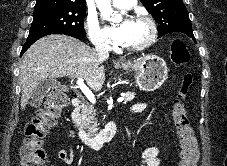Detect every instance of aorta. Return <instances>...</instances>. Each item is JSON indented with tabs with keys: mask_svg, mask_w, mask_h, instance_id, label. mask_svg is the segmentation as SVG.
Segmentation results:
<instances>
[{
	"mask_svg": "<svg viewBox=\"0 0 227 166\" xmlns=\"http://www.w3.org/2000/svg\"><path fill=\"white\" fill-rule=\"evenodd\" d=\"M97 7L101 16L108 21H120L122 19L120 14H114L111 7V0H96Z\"/></svg>",
	"mask_w": 227,
	"mask_h": 166,
	"instance_id": "obj_1",
	"label": "aorta"
}]
</instances>
